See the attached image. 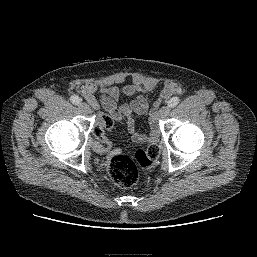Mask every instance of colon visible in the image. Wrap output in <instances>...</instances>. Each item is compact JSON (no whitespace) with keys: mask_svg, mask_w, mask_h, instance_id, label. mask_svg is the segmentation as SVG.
Returning <instances> with one entry per match:
<instances>
[{"mask_svg":"<svg viewBox=\"0 0 257 257\" xmlns=\"http://www.w3.org/2000/svg\"><path fill=\"white\" fill-rule=\"evenodd\" d=\"M114 126V119L104 116L93 128L95 138L93 147L100 152L110 148L111 143L107 137V132ZM158 147L150 145L145 149H139L131 159L123 155L120 151H114L108 164V173L116 185L122 188L132 187L138 180V167H151L158 157Z\"/></svg>","mask_w":257,"mask_h":257,"instance_id":"1","label":"colon"}]
</instances>
